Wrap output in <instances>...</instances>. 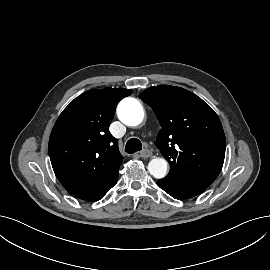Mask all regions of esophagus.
<instances>
[{
  "label": "esophagus",
  "mask_w": 270,
  "mask_h": 270,
  "mask_svg": "<svg viewBox=\"0 0 270 270\" xmlns=\"http://www.w3.org/2000/svg\"><path fill=\"white\" fill-rule=\"evenodd\" d=\"M141 158H149L152 156V152L149 149H144L139 153Z\"/></svg>",
  "instance_id": "1"
}]
</instances>
